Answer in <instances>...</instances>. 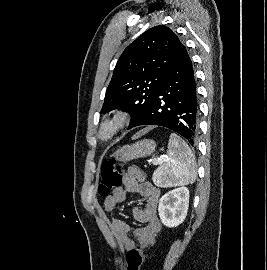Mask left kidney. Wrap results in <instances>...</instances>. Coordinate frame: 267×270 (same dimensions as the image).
I'll list each match as a JSON object with an SVG mask.
<instances>
[{"label": "left kidney", "mask_w": 267, "mask_h": 270, "mask_svg": "<svg viewBox=\"0 0 267 270\" xmlns=\"http://www.w3.org/2000/svg\"><path fill=\"white\" fill-rule=\"evenodd\" d=\"M188 207V188H175L160 198L158 206L159 217L165 226L177 227L185 220Z\"/></svg>", "instance_id": "obj_1"}]
</instances>
